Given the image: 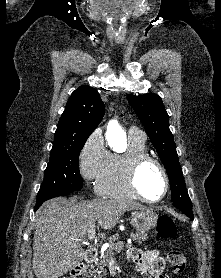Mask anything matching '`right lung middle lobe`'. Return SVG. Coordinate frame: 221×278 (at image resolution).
Returning a JSON list of instances; mask_svg holds the SVG:
<instances>
[{"label": "right lung middle lobe", "mask_w": 221, "mask_h": 278, "mask_svg": "<svg viewBox=\"0 0 221 278\" xmlns=\"http://www.w3.org/2000/svg\"><path fill=\"white\" fill-rule=\"evenodd\" d=\"M85 142L52 148L44 181L37 195V203L42 204L61 192L82 188L83 181L79 172L78 161Z\"/></svg>", "instance_id": "obj_1"}]
</instances>
